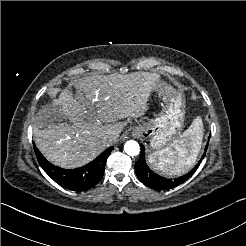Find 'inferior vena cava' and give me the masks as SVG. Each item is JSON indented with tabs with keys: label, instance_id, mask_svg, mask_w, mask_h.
Here are the masks:
<instances>
[{
	"label": "inferior vena cava",
	"instance_id": "obj_1",
	"mask_svg": "<svg viewBox=\"0 0 246 246\" xmlns=\"http://www.w3.org/2000/svg\"><path fill=\"white\" fill-rule=\"evenodd\" d=\"M115 134L108 135L107 138H114Z\"/></svg>",
	"mask_w": 246,
	"mask_h": 246
}]
</instances>
